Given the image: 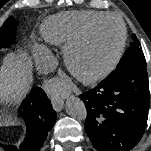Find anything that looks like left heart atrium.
I'll list each match as a JSON object with an SVG mask.
<instances>
[{"instance_id":"39dd6f15","label":"left heart atrium","mask_w":151,"mask_h":151,"mask_svg":"<svg viewBox=\"0 0 151 151\" xmlns=\"http://www.w3.org/2000/svg\"><path fill=\"white\" fill-rule=\"evenodd\" d=\"M49 88L57 94L65 93L69 86L65 82L62 81H53L49 84Z\"/></svg>"}]
</instances>
